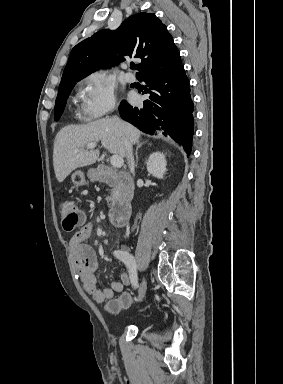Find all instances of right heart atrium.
<instances>
[{
    "mask_svg": "<svg viewBox=\"0 0 283 384\" xmlns=\"http://www.w3.org/2000/svg\"><path fill=\"white\" fill-rule=\"evenodd\" d=\"M80 100L79 118L89 124H97L117 106L113 84L102 74L90 73L77 85Z\"/></svg>",
    "mask_w": 283,
    "mask_h": 384,
    "instance_id": "d8ad5b80",
    "label": "right heart atrium"
}]
</instances>
